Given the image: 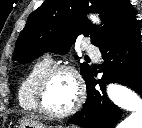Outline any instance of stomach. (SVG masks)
Returning <instances> with one entry per match:
<instances>
[{"label":"stomach","mask_w":142,"mask_h":128,"mask_svg":"<svg viewBox=\"0 0 142 128\" xmlns=\"http://www.w3.org/2000/svg\"><path fill=\"white\" fill-rule=\"evenodd\" d=\"M63 128L61 125L47 126L36 118H25L19 122L18 128Z\"/></svg>","instance_id":"1"}]
</instances>
